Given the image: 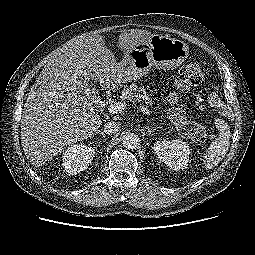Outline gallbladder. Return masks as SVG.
I'll use <instances>...</instances> for the list:
<instances>
[{
  "label": "gallbladder",
  "mask_w": 255,
  "mask_h": 255,
  "mask_svg": "<svg viewBox=\"0 0 255 255\" xmlns=\"http://www.w3.org/2000/svg\"><path fill=\"white\" fill-rule=\"evenodd\" d=\"M78 81V89L84 96L88 97L90 100H95L98 97V92L96 91L92 81H86L83 77H79Z\"/></svg>",
  "instance_id": "gallbladder-1"
}]
</instances>
